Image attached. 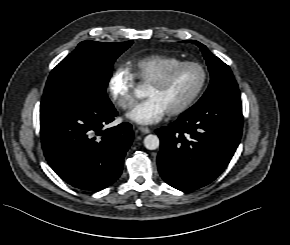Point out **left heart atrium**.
I'll return each instance as SVG.
<instances>
[{
  "mask_svg": "<svg viewBox=\"0 0 290 245\" xmlns=\"http://www.w3.org/2000/svg\"><path fill=\"white\" fill-rule=\"evenodd\" d=\"M167 113L165 107L154 97H147L136 104L128 118L138 124L148 125L159 122Z\"/></svg>",
  "mask_w": 290,
  "mask_h": 245,
  "instance_id": "left-heart-atrium-1",
  "label": "left heart atrium"
}]
</instances>
